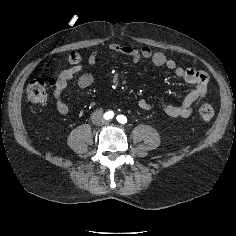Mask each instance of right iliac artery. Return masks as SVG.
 I'll return each mask as SVG.
<instances>
[{"mask_svg":"<svg viewBox=\"0 0 236 236\" xmlns=\"http://www.w3.org/2000/svg\"><path fill=\"white\" fill-rule=\"evenodd\" d=\"M113 116H114V112L113 111H108L104 115L105 119H112Z\"/></svg>","mask_w":236,"mask_h":236,"instance_id":"right-iliac-artery-1","label":"right iliac artery"}]
</instances>
